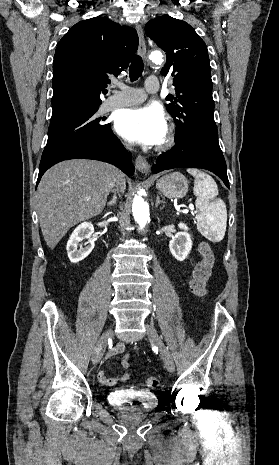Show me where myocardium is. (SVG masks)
<instances>
[{
  "instance_id": "1",
  "label": "myocardium",
  "mask_w": 279,
  "mask_h": 465,
  "mask_svg": "<svg viewBox=\"0 0 279 465\" xmlns=\"http://www.w3.org/2000/svg\"><path fill=\"white\" fill-rule=\"evenodd\" d=\"M175 140V134L172 128H169L164 139L162 142L158 145V150H165L171 147L174 143Z\"/></svg>"
}]
</instances>
